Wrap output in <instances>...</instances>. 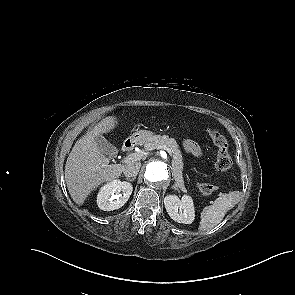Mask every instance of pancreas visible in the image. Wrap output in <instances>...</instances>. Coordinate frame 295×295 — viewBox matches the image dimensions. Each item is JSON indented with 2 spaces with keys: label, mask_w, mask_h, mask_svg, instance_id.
Returning <instances> with one entry per match:
<instances>
[{
  "label": "pancreas",
  "mask_w": 295,
  "mask_h": 295,
  "mask_svg": "<svg viewBox=\"0 0 295 295\" xmlns=\"http://www.w3.org/2000/svg\"><path fill=\"white\" fill-rule=\"evenodd\" d=\"M160 145H165L170 149L172 156V173L175 180V183L183 192H187L184 179H183V158L179 146L174 138H169L166 135L160 136L155 135L149 142L144 143V147L146 150L156 149Z\"/></svg>",
  "instance_id": "cf45deb5"
}]
</instances>
